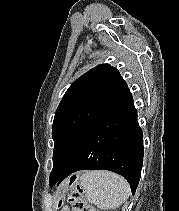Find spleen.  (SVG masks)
Returning a JSON list of instances; mask_svg holds the SVG:
<instances>
[{"mask_svg":"<svg viewBox=\"0 0 179 211\" xmlns=\"http://www.w3.org/2000/svg\"><path fill=\"white\" fill-rule=\"evenodd\" d=\"M80 184L87 200L102 210H114L130 195L128 182L120 175L109 171H86Z\"/></svg>","mask_w":179,"mask_h":211,"instance_id":"obj_1","label":"spleen"}]
</instances>
